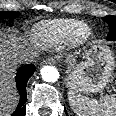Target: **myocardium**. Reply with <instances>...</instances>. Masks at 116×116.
Returning a JSON list of instances; mask_svg holds the SVG:
<instances>
[{"instance_id": "myocardium-1", "label": "myocardium", "mask_w": 116, "mask_h": 116, "mask_svg": "<svg viewBox=\"0 0 116 116\" xmlns=\"http://www.w3.org/2000/svg\"><path fill=\"white\" fill-rule=\"evenodd\" d=\"M91 35V27L86 23L80 22L68 34L66 45L71 50L80 49L89 41Z\"/></svg>"}]
</instances>
